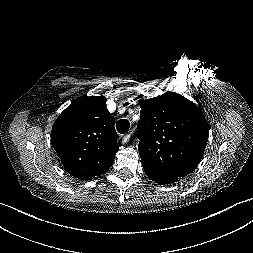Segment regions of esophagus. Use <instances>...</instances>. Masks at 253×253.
I'll return each mask as SVG.
<instances>
[{
	"mask_svg": "<svg viewBox=\"0 0 253 253\" xmlns=\"http://www.w3.org/2000/svg\"><path fill=\"white\" fill-rule=\"evenodd\" d=\"M129 139H130V134H126V135L123 136L122 142L127 143L129 141Z\"/></svg>",
	"mask_w": 253,
	"mask_h": 253,
	"instance_id": "1",
	"label": "esophagus"
}]
</instances>
